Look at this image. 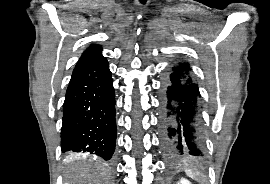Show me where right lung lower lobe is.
<instances>
[{"label": "right lung lower lobe", "mask_w": 270, "mask_h": 184, "mask_svg": "<svg viewBox=\"0 0 270 184\" xmlns=\"http://www.w3.org/2000/svg\"><path fill=\"white\" fill-rule=\"evenodd\" d=\"M115 93L106 59L75 67L63 105L62 152L110 160L115 149Z\"/></svg>", "instance_id": "1"}]
</instances>
